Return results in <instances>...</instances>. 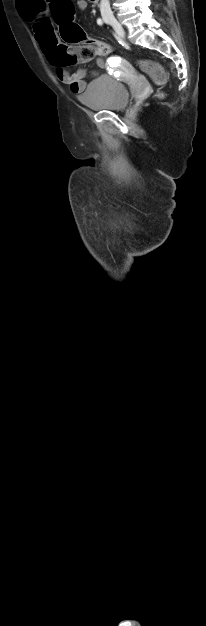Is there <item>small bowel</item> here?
Masks as SVG:
<instances>
[{
  "label": "small bowel",
  "instance_id": "1",
  "mask_svg": "<svg viewBox=\"0 0 206 626\" xmlns=\"http://www.w3.org/2000/svg\"><path fill=\"white\" fill-rule=\"evenodd\" d=\"M88 7L86 0H77V8L81 11L86 10ZM35 15V14H34ZM31 15V16H34ZM46 24L48 25V29L44 30L42 26ZM34 36L35 39L41 48L42 52L46 56L49 62L54 64L57 67L56 75L57 78L64 84L70 87V90L75 94H80L84 91L86 87V75L87 72L85 69H78L77 71L71 73L66 70L62 65L56 62L57 57V48L60 46L58 40L51 29L49 23L43 19L35 20L33 25ZM110 60L116 62L117 67L120 68L121 71H126L129 68L128 62L119 57L112 56Z\"/></svg>",
  "mask_w": 206,
  "mask_h": 626
}]
</instances>
